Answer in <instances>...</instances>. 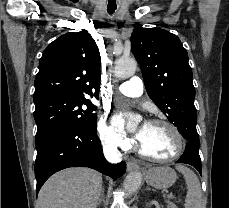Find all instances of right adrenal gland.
Listing matches in <instances>:
<instances>
[{"label":"right adrenal gland","instance_id":"right-adrenal-gland-1","mask_svg":"<svg viewBox=\"0 0 229 208\" xmlns=\"http://www.w3.org/2000/svg\"><path fill=\"white\" fill-rule=\"evenodd\" d=\"M101 202H105V196H104L103 190H102V192H101V194L99 196V200H98V202L96 204V208H98V206H100Z\"/></svg>","mask_w":229,"mask_h":208}]
</instances>
